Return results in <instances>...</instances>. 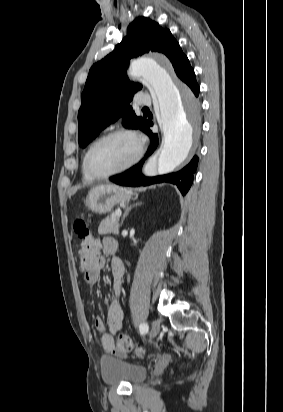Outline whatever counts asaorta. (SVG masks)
<instances>
[{
    "label": "aorta",
    "instance_id": "762f6f07",
    "mask_svg": "<svg viewBox=\"0 0 283 412\" xmlns=\"http://www.w3.org/2000/svg\"><path fill=\"white\" fill-rule=\"evenodd\" d=\"M169 71L168 66L146 57L134 60L129 68V73L140 78L156 95L158 121L164 137L157 159L160 175L172 172L187 158L196 136L197 107L192 93L184 85L176 86Z\"/></svg>",
    "mask_w": 283,
    "mask_h": 412
}]
</instances>
